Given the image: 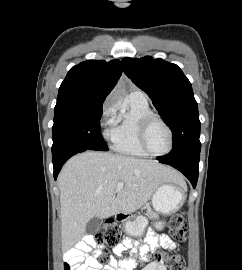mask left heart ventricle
<instances>
[{
    "label": "left heart ventricle",
    "mask_w": 242,
    "mask_h": 270,
    "mask_svg": "<svg viewBox=\"0 0 242 270\" xmlns=\"http://www.w3.org/2000/svg\"><path fill=\"white\" fill-rule=\"evenodd\" d=\"M147 145L149 149L157 154L167 151L169 147V136L164 126L154 121L147 131Z\"/></svg>",
    "instance_id": "obj_1"
}]
</instances>
